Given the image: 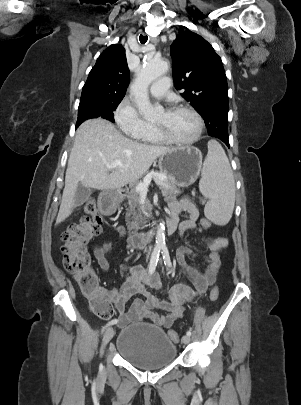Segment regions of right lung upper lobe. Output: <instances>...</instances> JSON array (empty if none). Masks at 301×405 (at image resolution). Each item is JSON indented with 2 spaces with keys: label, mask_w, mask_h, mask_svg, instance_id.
<instances>
[{
  "label": "right lung upper lobe",
  "mask_w": 301,
  "mask_h": 405,
  "mask_svg": "<svg viewBox=\"0 0 301 405\" xmlns=\"http://www.w3.org/2000/svg\"><path fill=\"white\" fill-rule=\"evenodd\" d=\"M125 49L113 44L102 52L89 73L81 97L90 95L124 97L129 83Z\"/></svg>",
  "instance_id": "right-lung-upper-lobe-1"
}]
</instances>
